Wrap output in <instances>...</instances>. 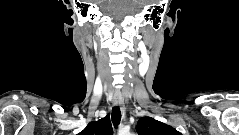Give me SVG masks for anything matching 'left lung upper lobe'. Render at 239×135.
I'll return each mask as SVG.
<instances>
[{
    "label": "left lung upper lobe",
    "instance_id": "5c2ea615",
    "mask_svg": "<svg viewBox=\"0 0 239 135\" xmlns=\"http://www.w3.org/2000/svg\"><path fill=\"white\" fill-rule=\"evenodd\" d=\"M136 130L139 135H181L173 127L151 117L139 119Z\"/></svg>",
    "mask_w": 239,
    "mask_h": 135
}]
</instances>
